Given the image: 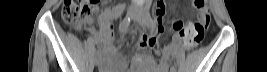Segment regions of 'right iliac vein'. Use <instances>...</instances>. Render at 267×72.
I'll return each mask as SVG.
<instances>
[{
    "mask_svg": "<svg viewBox=\"0 0 267 72\" xmlns=\"http://www.w3.org/2000/svg\"><path fill=\"white\" fill-rule=\"evenodd\" d=\"M130 13H128L127 15H129ZM99 61H100V56H98L97 58H96V65H98L99 64Z\"/></svg>",
    "mask_w": 267,
    "mask_h": 72,
    "instance_id": "1",
    "label": "right iliac vein"
}]
</instances>
